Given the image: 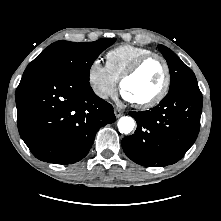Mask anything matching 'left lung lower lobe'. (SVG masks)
<instances>
[{
    "instance_id": "obj_1",
    "label": "left lung lower lobe",
    "mask_w": 221,
    "mask_h": 221,
    "mask_svg": "<svg viewBox=\"0 0 221 221\" xmlns=\"http://www.w3.org/2000/svg\"><path fill=\"white\" fill-rule=\"evenodd\" d=\"M202 93L197 84L170 91L154 108L130 112L137 129L122 139L125 154L135 163L163 167L179 161L195 142L200 128Z\"/></svg>"
}]
</instances>
